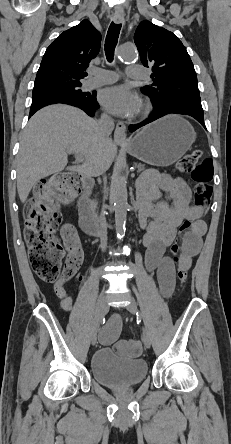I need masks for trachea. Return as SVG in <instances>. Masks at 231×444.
<instances>
[{
    "label": "trachea",
    "mask_w": 231,
    "mask_h": 444,
    "mask_svg": "<svg viewBox=\"0 0 231 444\" xmlns=\"http://www.w3.org/2000/svg\"><path fill=\"white\" fill-rule=\"evenodd\" d=\"M120 30L121 24H115L114 22H112L109 26L105 40V54L108 62L113 61L114 50L118 42Z\"/></svg>",
    "instance_id": "trachea-1"
}]
</instances>
